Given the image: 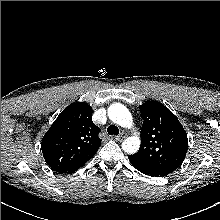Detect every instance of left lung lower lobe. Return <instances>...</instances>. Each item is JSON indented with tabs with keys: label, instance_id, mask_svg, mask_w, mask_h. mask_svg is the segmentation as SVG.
Masks as SVG:
<instances>
[{
	"label": "left lung lower lobe",
	"instance_id": "left-lung-lower-lobe-1",
	"mask_svg": "<svg viewBox=\"0 0 220 220\" xmlns=\"http://www.w3.org/2000/svg\"><path fill=\"white\" fill-rule=\"evenodd\" d=\"M128 158H129L130 162L132 163V165H134V167L136 169H138L140 172H142L145 175H150V176H154V177L165 175L162 172H160L159 170L153 168L152 166L148 165L144 161L139 160L132 155L131 156L128 155Z\"/></svg>",
	"mask_w": 220,
	"mask_h": 220
}]
</instances>
